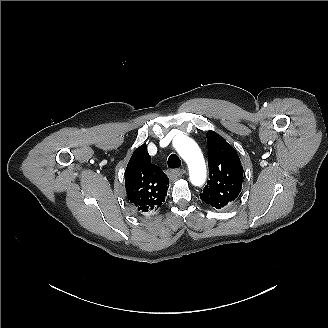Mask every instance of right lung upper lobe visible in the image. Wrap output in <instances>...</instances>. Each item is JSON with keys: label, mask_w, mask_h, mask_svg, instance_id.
<instances>
[{"label": "right lung upper lobe", "mask_w": 328, "mask_h": 328, "mask_svg": "<svg viewBox=\"0 0 328 328\" xmlns=\"http://www.w3.org/2000/svg\"><path fill=\"white\" fill-rule=\"evenodd\" d=\"M125 183L128 200L140 215L155 212L165 202L169 179L151 163L145 144L131 156L125 171Z\"/></svg>", "instance_id": "obj_1"}]
</instances>
